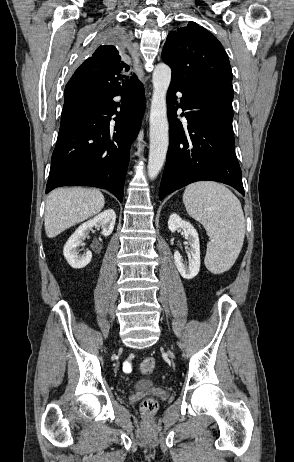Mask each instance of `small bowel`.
<instances>
[{"label": "small bowel", "instance_id": "small-bowel-1", "mask_svg": "<svg viewBox=\"0 0 294 462\" xmlns=\"http://www.w3.org/2000/svg\"><path fill=\"white\" fill-rule=\"evenodd\" d=\"M123 370L125 373H130L132 371V363L130 360L124 362Z\"/></svg>", "mask_w": 294, "mask_h": 462}]
</instances>
